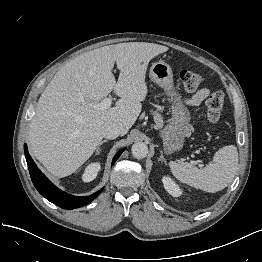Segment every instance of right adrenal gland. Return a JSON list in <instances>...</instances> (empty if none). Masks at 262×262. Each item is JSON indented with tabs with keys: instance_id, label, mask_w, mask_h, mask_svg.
Here are the masks:
<instances>
[{
	"instance_id": "1",
	"label": "right adrenal gland",
	"mask_w": 262,
	"mask_h": 262,
	"mask_svg": "<svg viewBox=\"0 0 262 262\" xmlns=\"http://www.w3.org/2000/svg\"><path fill=\"white\" fill-rule=\"evenodd\" d=\"M105 142H107V140H103V141H101L100 142V145H99V147L97 148V150H96V154H99L100 153V151H101V145L103 144V143H105Z\"/></svg>"
}]
</instances>
